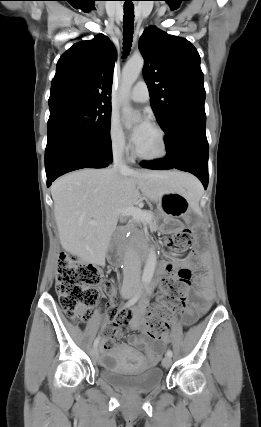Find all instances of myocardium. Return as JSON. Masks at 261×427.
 Returning <instances> with one entry per match:
<instances>
[{"label":"myocardium","instance_id":"1","mask_svg":"<svg viewBox=\"0 0 261 427\" xmlns=\"http://www.w3.org/2000/svg\"><path fill=\"white\" fill-rule=\"evenodd\" d=\"M152 128L159 135L160 143H161V150L156 155H143V154L139 153L137 151V149L135 148L133 151V155H134V157H136L139 160L146 161V162H154V161H158V160L165 158L168 154V141H167V136H166L165 131L163 130V128H161L158 125H153Z\"/></svg>","mask_w":261,"mask_h":427}]
</instances>
